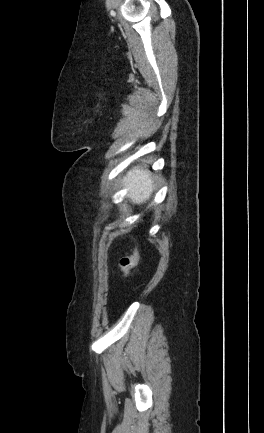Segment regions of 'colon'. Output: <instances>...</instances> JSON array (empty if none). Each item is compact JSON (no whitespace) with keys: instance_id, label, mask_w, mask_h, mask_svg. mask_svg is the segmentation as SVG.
Returning <instances> with one entry per match:
<instances>
[{"instance_id":"colon-1","label":"colon","mask_w":264,"mask_h":433,"mask_svg":"<svg viewBox=\"0 0 264 433\" xmlns=\"http://www.w3.org/2000/svg\"><path fill=\"white\" fill-rule=\"evenodd\" d=\"M140 261V251L134 246L133 251L130 255L123 257L120 260V269L124 279H128L131 271L135 268Z\"/></svg>"}]
</instances>
